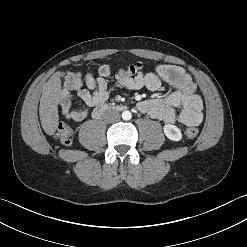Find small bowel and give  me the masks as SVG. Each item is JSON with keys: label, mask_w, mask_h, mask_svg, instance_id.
<instances>
[{"label": "small bowel", "mask_w": 247, "mask_h": 247, "mask_svg": "<svg viewBox=\"0 0 247 247\" xmlns=\"http://www.w3.org/2000/svg\"><path fill=\"white\" fill-rule=\"evenodd\" d=\"M113 68L109 64L99 67L98 74L87 73L82 76L80 72H63L62 88L59 94V107L62 115L74 121L84 119L89 110L104 104L114 88L129 90L147 89L157 91L162 82H165L176 91L167 97H154L138 103L140 112L153 119L165 123L180 122L185 126L199 125L203 120V103L196 93V86L191 77L179 66L171 64L158 65L153 71L139 72L131 76L125 75L121 70L115 73V82L110 85L108 77ZM84 101L85 106L72 107V92Z\"/></svg>", "instance_id": "small-bowel-1"}]
</instances>
